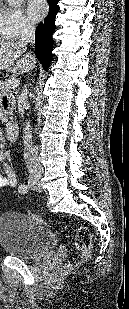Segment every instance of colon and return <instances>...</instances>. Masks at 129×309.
<instances>
[{
    "instance_id": "obj_1",
    "label": "colon",
    "mask_w": 129,
    "mask_h": 309,
    "mask_svg": "<svg viewBox=\"0 0 129 309\" xmlns=\"http://www.w3.org/2000/svg\"><path fill=\"white\" fill-rule=\"evenodd\" d=\"M29 216L37 222H42V219L36 214L29 213ZM74 241L77 250L81 254V259H86L91 251L92 237L87 227H80L74 232Z\"/></svg>"
}]
</instances>
